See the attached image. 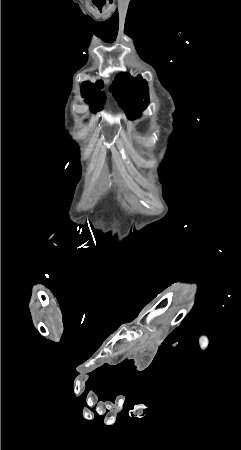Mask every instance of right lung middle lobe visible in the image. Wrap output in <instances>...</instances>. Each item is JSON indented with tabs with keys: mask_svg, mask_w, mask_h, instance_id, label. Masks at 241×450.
<instances>
[{
	"mask_svg": "<svg viewBox=\"0 0 241 450\" xmlns=\"http://www.w3.org/2000/svg\"><path fill=\"white\" fill-rule=\"evenodd\" d=\"M101 88H103L102 82H97L96 84L84 82L81 86L82 96L86 97L87 102L91 103L93 100H96V105L91 107L92 111L101 110L103 108V104L105 103L106 97L104 96V92H100ZM89 94H91V96H89Z\"/></svg>",
	"mask_w": 241,
	"mask_h": 450,
	"instance_id": "right-lung-middle-lobe-1",
	"label": "right lung middle lobe"
}]
</instances>
